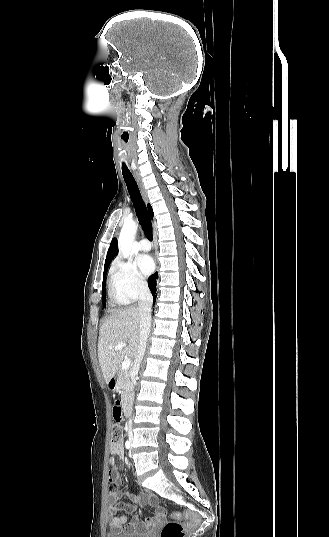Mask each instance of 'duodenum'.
Returning <instances> with one entry per match:
<instances>
[{
  "label": "duodenum",
  "instance_id": "obj_1",
  "mask_svg": "<svg viewBox=\"0 0 329 537\" xmlns=\"http://www.w3.org/2000/svg\"><path fill=\"white\" fill-rule=\"evenodd\" d=\"M116 385H117V381L115 378H111L109 381H108V388L110 390H115L116 389ZM121 409L123 411V413L125 415H128L129 414V404L127 402H123L121 403Z\"/></svg>",
  "mask_w": 329,
  "mask_h": 537
}]
</instances>
